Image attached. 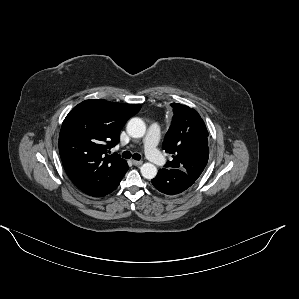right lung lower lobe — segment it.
<instances>
[{
	"mask_svg": "<svg viewBox=\"0 0 299 299\" xmlns=\"http://www.w3.org/2000/svg\"><path fill=\"white\" fill-rule=\"evenodd\" d=\"M127 170H128V165L126 164L124 170L121 172V174H120L119 178L117 179L116 183L113 185V187L110 189V191L107 194H109L110 192H112L113 190L116 189V187L119 185L121 179L123 178V176L125 175V173L127 172Z\"/></svg>",
	"mask_w": 299,
	"mask_h": 299,
	"instance_id": "obj_1",
	"label": "right lung lower lobe"
}]
</instances>
